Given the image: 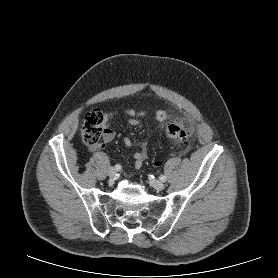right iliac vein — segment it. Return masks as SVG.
Wrapping results in <instances>:
<instances>
[{
	"label": "right iliac vein",
	"mask_w": 278,
	"mask_h": 278,
	"mask_svg": "<svg viewBox=\"0 0 278 278\" xmlns=\"http://www.w3.org/2000/svg\"><path fill=\"white\" fill-rule=\"evenodd\" d=\"M116 173H117V171H116V169L113 168V167H111V168L108 170V175H109L110 179H112V180L115 179Z\"/></svg>",
	"instance_id": "63e3f726"
}]
</instances>
